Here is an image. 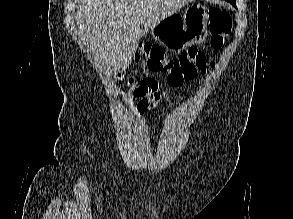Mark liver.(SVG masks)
Instances as JSON below:
<instances>
[{
    "instance_id": "1",
    "label": "liver",
    "mask_w": 293,
    "mask_h": 219,
    "mask_svg": "<svg viewBox=\"0 0 293 219\" xmlns=\"http://www.w3.org/2000/svg\"><path fill=\"white\" fill-rule=\"evenodd\" d=\"M193 1L77 0L76 34L101 71H123L145 31Z\"/></svg>"
}]
</instances>
